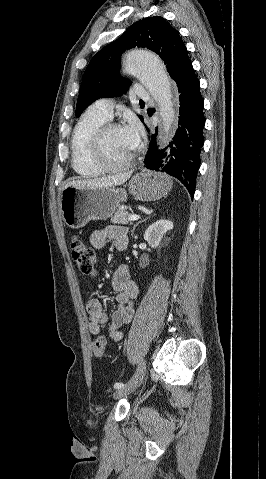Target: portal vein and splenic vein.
I'll list each match as a JSON object with an SVG mask.
<instances>
[{
    "label": "portal vein and splenic vein",
    "instance_id": "obj_1",
    "mask_svg": "<svg viewBox=\"0 0 266 479\" xmlns=\"http://www.w3.org/2000/svg\"><path fill=\"white\" fill-rule=\"evenodd\" d=\"M139 218H140L139 215L133 214L128 218V220L129 221H135V220H138Z\"/></svg>",
    "mask_w": 266,
    "mask_h": 479
}]
</instances>
